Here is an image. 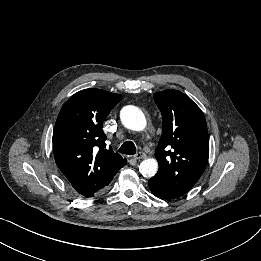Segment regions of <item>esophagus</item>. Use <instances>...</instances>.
<instances>
[{"mask_svg": "<svg viewBox=\"0 0 261 261\" xmlns=\"http://www.w3.org/2000/svg\"><path fill=\"white\" fill-rule=\"evenodd\" d=\"M145 157H146V155H145L144 152H138V153L134 156V159L141 160V159H144Z\"/></svg>", "mask_w": 261, "mask_h": 261, "instance_id": "1", "label": "esophagus"}]
</instances>
